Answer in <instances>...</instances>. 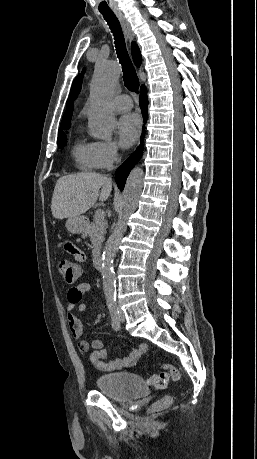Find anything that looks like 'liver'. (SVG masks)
Wrapping results in <instances>:
<instances>
[{
  "instance_id": "obj_1",
  "label": "liver",
  "mask_w": 257,
  "mask_h": 459,
  "mask_svg": "<svg viewBox=\"0 0 257 459\" xmlns=\"http://www.w3.org/2000/svg\"><path fill=\"white\" fill-rule=\"evenodd\" d=\"M101 189V191H100ZM112 191V182L106 175L82 172L63 176L54 188L51 211L56 219L78 217L97 201H106Z\"/></svg>"
}]
</instances>
